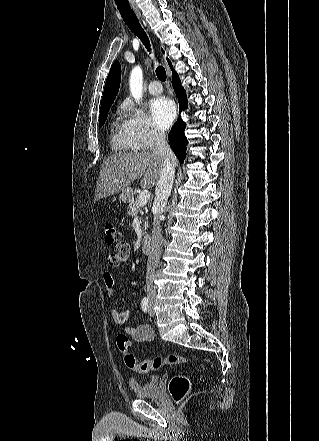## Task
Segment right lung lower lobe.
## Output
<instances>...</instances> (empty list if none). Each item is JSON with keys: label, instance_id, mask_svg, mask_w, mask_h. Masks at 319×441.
I'll list each match as a JSON object with an SVG mask.
<instances>
[{"label": "right lung lower lobe", "instance_id": "obj_1", "mask_svg": "<svg viewBox=\"0 0 319 441\" xmlns=\"http://www.w3.org/2000/svg\"><path fill=\"white\" fill-rule=\"evenodd\" d=\"M172 71V84L178 97L179 109L181 111L187 107V97L184 88L181 86L178 74L174 70ZM185 127L186 124L181 120V118H179L169 133V144L180 162H183L186 157V144L188 142L184 134Z\"/></svg>", "mask_w": 319, "mask_h": 441}]
</instances>
